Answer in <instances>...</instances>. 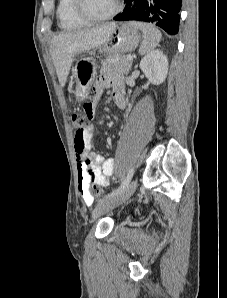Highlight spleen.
<instances>
[{
	"label": "spleen",
	"instance_id": "1",
	"mask_svg": "<svg viewBox=\"0 0 227 298\" xmlns=\"http://www.w3.org/2000/svg\"><path fill=\"white\" fill-rule=\"evenodd\" d=\"M131 24L143 33L144 39L139 48V54L145 55L153 51L161 40V32L151 24L141 22H131Z\"/></svg>",
	"mask_w": 227,
	"mask_h": 298
}]
</instances>
